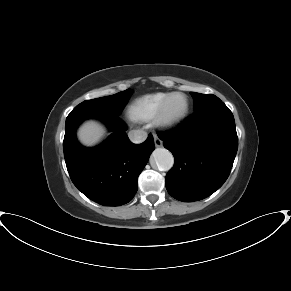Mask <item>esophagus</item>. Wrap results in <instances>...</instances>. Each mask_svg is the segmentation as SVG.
Returning <instances> with one entry per match:
<instances>
[{
  "label": "esophagus",
  "instance_id": "obj_1",
  "mask_svg": "<svg viewBox=\"0 0 291 291\" xmlns=\"http://www.w3.org/2000/svg\"><path fill=\"white\" fill-rule=\"evenodd\" d=\"M154 143L156 147L162 146V141L157 137V135H154Z\"/></svg>",
  "mask_w": 291,
  "mask_h": 291
}]
</instances>
